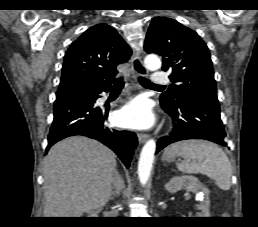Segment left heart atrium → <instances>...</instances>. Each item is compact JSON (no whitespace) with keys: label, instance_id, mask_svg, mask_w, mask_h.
Returning <instances> with one entry per match:
<instances>
[{"label":"left heart atrium","instance_id":"39dd6f15","mask_svg":"<svg viewBox=\"0 0 258 227\" xmlns=\"http://www.w3.org/2000/svg\"><path fill=\"white\" fill-rule=\"evenodd\" d=\"M116 122L128 128H147L153 124L154 114L145 99H135L116 114Z\"/></svg>","mask_w":258,"mask_h":227}]
</instances>
